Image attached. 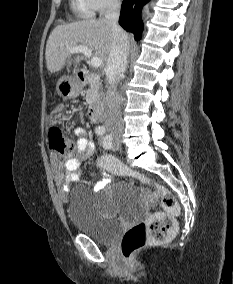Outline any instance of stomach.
<instances>
[{"instance_id":"obj_1","label":"stomach","mask_w":233,"mask_h":284,"mask_svg":"<svg viewBox=\"0 0 233 284\" xmlns=\"http://www.w3.org/2000/svg\"><path fill=\"white\" fill-rule=\"evenodd\" d=\"M81 89L82 82L75 76H64L56 85L57 93L65 99L76 97Z\"/></svg>"}]
</instances>
